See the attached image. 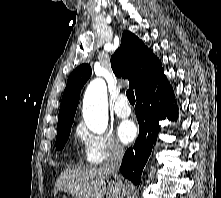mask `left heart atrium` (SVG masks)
<instances>
[{
    "label": "left heart atrium",
    "mask_w": 221,
    "mask_h": 198,
    "mask_svg": "<svg viewBox=\"0 0 221 198\" xmlns=\"http://www.w3.org/2000/svg\"><path fill=\"white\" fill-rule=\"evenodd\" d=\"M117 134L123 143H130L137 136V127L130 120L123 121L118 126Z\"/></svg>",
    "instance_id": "left-heart-atrium-1"
}]
</instances>
